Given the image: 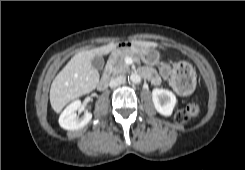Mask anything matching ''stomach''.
<instances>
[{"label":"stomach","mask_w":245,"mask_h":170,"mask_svg":"<svg viewBox=\"0 0 245 170\" xmlns=\"http://www.w3.org/2000/svg\"><path fill=\"white\" fill-rule=\"evenodd\" d=\"M122 51L133 53L134 55L138 56L143 62H145L148 65L154 66L159 63V53L154 48H143V47H140L134 44H130V46L122 45V46H119L115 50L113 56L115 57L118 52H122ZM174 70L175 72L182 71V78L190 79L191 81L190 88L188 90L182 89V92L186 94L191 93L194 90V87L196 85L195 76H194V73L191 67L190 66H183V67L177 66L175 67Z\"/></svg>","instance_id":"1"}]
</instances>
